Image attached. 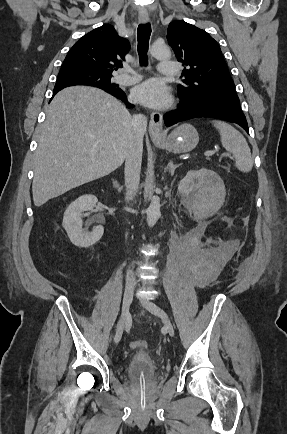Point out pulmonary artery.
I'll return each instance as SVG.
<instances>
[{
    "instance_id": "obj_1",
    "label": "pulmonary artery",
    "mask_w": 287,
    "mask_h": 434,
    "mask_svg": "<svg viewBox=\"0 0 287 434\" xmlns=\"http://www.w3.org/2000/svg\"><path fill=\"white\" fill-rule=\"evenodd\" d=\"M158 71L162 75L176 76L179 73V67L175 63L161 62L158 65ZM140 75L131 70H125L124 73L117 77L120 84H132L140 79Z\"/></svg>"
}]
</instances>
